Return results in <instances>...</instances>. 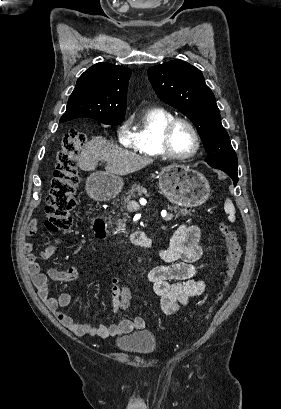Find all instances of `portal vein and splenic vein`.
<instances>
[{
	"label": "portal vein and splenic vein",
	"mask_w": 281,
	"mask_h": 409,
	"mask_svg": "<svg viewBox=\"0 0 281 409\" xmlns=\"http://www.w3.org/2000/svg\"><path fill=\"white\" fill-rule=\"evenodd\" d=\"M129 209L131 210L132 213H137L138 212V201L137 200H132L129 204ZM172 216H175V213L169 212L168 215H163L162 219L164 221H171L172 220Z\"/></svg>",
	"instance_id": "18ae733b"
}]
</instances>
